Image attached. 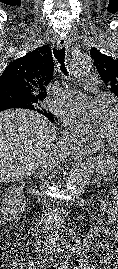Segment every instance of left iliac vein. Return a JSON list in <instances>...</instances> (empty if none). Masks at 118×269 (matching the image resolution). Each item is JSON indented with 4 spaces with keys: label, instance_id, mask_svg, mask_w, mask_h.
Wrapping results in <instances>:
<instances>
[{
    "label": "left iliac vein",
    "instance_id": "1",
    "mask_svg": "<svg viewBox=\"0 0 118 269\" xmlns=\"http://www.w3.org/2000/svg\"><path fill=\"white\" fill-rule=\"evenodd\" d=\"M61 269H69L67 266H62Z\"/></svg>",
    "mask_w": 118,
    "mask_h": 269
}]
</instances>
